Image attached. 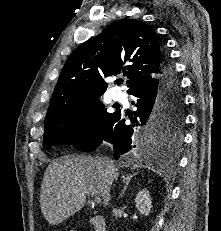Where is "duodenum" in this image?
I'll return each mask as SVG.
<instances>
[{
    "label": "duodenum",
    "instance_id": "obj_1",
    "mask_svg": "<svg viewBox=\"0 0 221 231\" xmlns=\"http://www.w3.org/2000/svg\"><path fill=\"white\" fill-rule=\"evenodd\" d=\"M90 222L94 226L96 231H106V224L103 217L93 216L90 218Z\"/></svg>",
    "mask_w": 221,
    "mask_h": 231
}]
</instances>
